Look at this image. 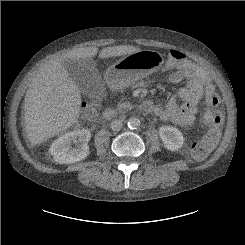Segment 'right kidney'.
I'll list each match as a JSON object with an SVG mask.
<instances>
[{
	"label": "right kidney",
	"instance_id": "1",
	"mask_svg": "<svg viewBox=\"0 0 245 245\" xmlns=\"http://www.w3.org/2000/svg\"><path fill=\"white\" fill-rule=\"evenodd\" d=\"M90 138L91 133L86 129L68 132L53 142L49 152L54 160L60 164H70L81 161L89 155L88 142ZM73 143L77 146L72 147Z\"/></svg>",
	"mask_w": 245,
	"mask_h": 245
}]
</instances>
